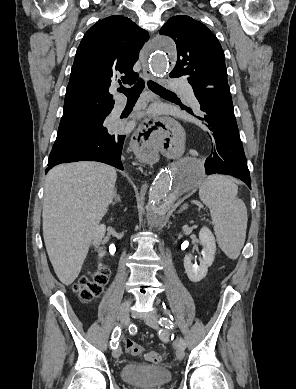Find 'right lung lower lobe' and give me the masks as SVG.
Returning a JSON list of instances; mask_svg holds the SVG:
<instances>
[{"label": "right lung lower lobe", "instance_id": "98d812e1", "mask_svg": "<svg viewBox=\"0 0 296 389\" xmlns=\"http://www.w3.org/2000/svg\"><path fill=\"white\" fill-rule=\"evenodd\" d=\"M125 135L102 129L90 135L54 144L46 173L54 166L76 161H99L123 170L121 152Z\"/></svg>", "mask_w": 296, "mask_h": 389}]
</instances>
